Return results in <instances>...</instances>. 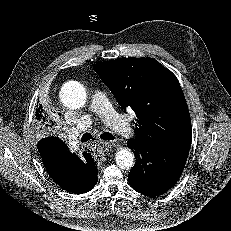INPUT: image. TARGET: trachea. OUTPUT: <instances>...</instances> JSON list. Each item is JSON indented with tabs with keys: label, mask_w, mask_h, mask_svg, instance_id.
I'll return each mask as SVG.
<instances>
[{
	"label": "trachea",
	"mask_w": 231,
	"mask_h": 231,
	"mask_svg": "<svg viewBox=\"0 0 231 231\" xmlns=\"http://www.w3.org/2000/svg\"><path fill=\"white\" fill-rule=\"evenodd\" d=\"M100 138L102 140H113L114 139V136L109 133V132H104L100 135ZM89 140H94V138L92 137V135L90 133H85L83 134L82 138H81V142H87Z\"/></svg>",
	"instance_id": "obj_1"
}]
</instances>
